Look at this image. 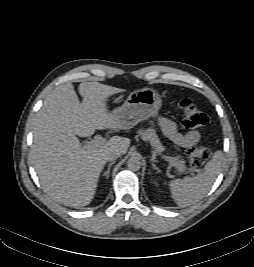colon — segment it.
Returning <instances> with one entry per match:
<instances>
[{
    "label": "colon",
    "mask_w": 254,
    "mask_h": 267,
    "mask_svg": "<svg viewBox=\"0 0 254 267\" xmlns=\"http://www.w3.org/2000/svg\"><path fill=\"white\" fill-rule=\"evenodd\" d=\"M183 115V126L187 129L204 127L209 123L208 116L202 112L190 99L179 101ZM187 156L192 167H202L211 157V150L205 146H193L188 149Z\"/></svg>",
    "instance_id": "5ec220e1"
}]
</instances>
